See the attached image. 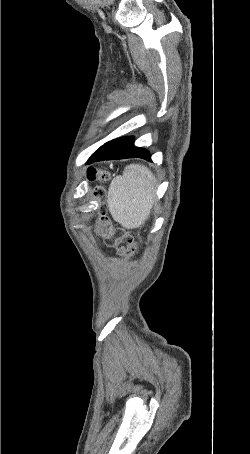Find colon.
Returning <instances> with one entry per match:
<instances>
[{
  "label": "colon",
  "mask_w": 250,
  "mask_h": 454,
  "mask_svg": "<svg viewBox=\"0 0 250 454\" xmlns=\"http://www.w3.org/2000/svg\"><path fill=\"white\" fill-rule=\"evenodd\" d=\"M88 176L92 180L99 182L93 188V195L95 197L103 196L105 194V188L102 183L109 179L110 173L105 170L90 169ZM96 230L103 236L105 244L115 248L120 257L129 259L136 254L137 244L133 237L123 228L111 226L105 218L104 213L100 216Z\"/></svg>",
  "instance_id": "5ec220e1"
}]
</instances>
